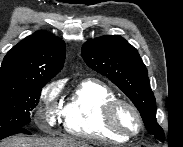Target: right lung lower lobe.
<instances>
[{"instance_id":"98d812e1","label":"right lung lower lobe","mask_w":183,"mask_h":147,"mask_svg":"<svg viewBox=\"0 0 183 147\" xmlns=\"http://www.w3.org/2000/svg\"><path fill=\"white\" fill-rule=\"evenodd\" d=\"M17 133L30 134V133L26 130L25 127H21V128H17V129L8 131L5 135H1V136H0V140L3 139V138H5V137H8V136L17 134Z\"/></svg>"}]
</instances>
